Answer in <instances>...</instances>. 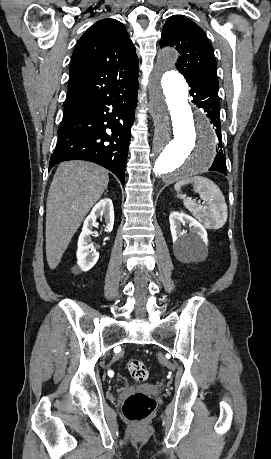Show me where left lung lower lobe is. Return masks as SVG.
<instances>
[{"label":"left lung lower lobe","mask_w":271,"mask_h":459,"mask_svg":"<svg viewBox=\"0 0 271 459\" xmlns=\"http://www.w3.org/2000/svg\"><path fill=\"white\" fill-rule=\"evenodd\" d=\"M188 84L191 87L190 94L193 97L192 102L196 104L198 108H202L205 112H207V117L215 126L217 137L216 157L209 170L218 171L226 175V155L221 137L218 86L213 85L210 80L202 82H188Z\"/></svg>","instance_id":"0a47b994"}]
</instances>
